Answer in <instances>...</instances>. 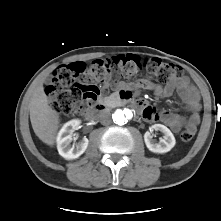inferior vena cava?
I'll use <instances>...</instances> for the list:
<instances>
[{"label":"inferior vena cava","instance_id":"602c4592","mask_svg":"<svg viewBox=\"0 0 221 221\" xmlns=\"http://www.w3.org/2000/svg\"><path fill=\"white\" fill-rule=\"evenodd\" d=\"M99 120L101 124L108 125L111 123V115L108 111H102L99 114Z\"/></svg>","mask_w":221,"mask_h":221}]
</instances>
